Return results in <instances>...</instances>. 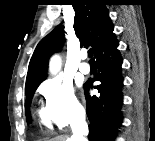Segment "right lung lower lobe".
<instances>
[{
	"mask_svg": "<svg viewBox=\"0 0 155 141\" xmlns=\"http://www.w3.org/2000/svg\"><path fill=\"white\" fill-rule=\"evenodd\" d=\"M119 43L115 34H109L94 51L98 63V74L94 86L98 96H90L93 80L85 85L86 111L90 122L89 136L91 141H110L114 139L118 126L122 123L121 106L123 104L122 57L117 49Z\"/></svg>",
	"mask_w": 155,
	"mask_h": 141,
	"instance_id": "right-lung-lower-lobe-1",
	"label": "right lung lower lobe"
}]
</instances>
